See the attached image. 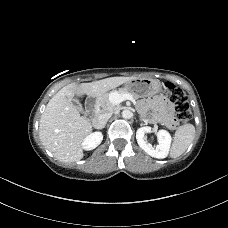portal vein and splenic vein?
Listing matches in <instances>:
<instances>
[{"label": "portal vein and splenic vein", "instance_id": "portal-vein-and-splenic-vein-1", "mask_svg": "<svg viewBox=\"0 0 228 228\" xmlns=\"http://www.w3.org/2000/svg\"><path fill=\"white\" fill-rule=\"evenodd\" d=\"M110 100H111V103L113 105H118L122 101H125V100L134 101V98L130 94H117V93H114V94L111 95Z\"/></svg>", "mask_w": 228, "mask_h": 228}]
</instances>
